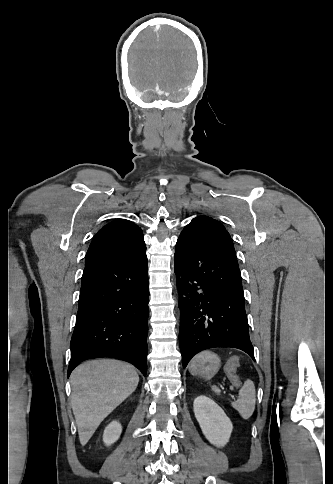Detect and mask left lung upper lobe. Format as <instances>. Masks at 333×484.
Listing matches in <instances>:
<instances>
[{
	"label": "left lung upper lobe",
	"instance_id": "1",
	"mask_svg": "<svg viewBox=\"0 0 333 484\" xmlns=\"http://www.w3.org/2000/svg\"><path fill=\"white\" fill-rule=\"evenodd\" d=\"M199 217H207V216H199Z\"/></svg>",
	"mask_w": 333,
	"mask_h": 484
}]
</instances>
